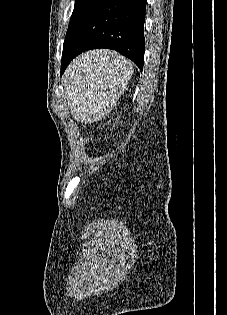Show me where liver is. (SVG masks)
Masks as SVG:
<instances>
[{
	"label": "liver",
	"instance_id": "1",
	"mask_svg": "<svg viewBox=\"0 0 227 315\" xmlns=\"http://www.w3.org/2000/svg\"><path fill=\"white\" fill-rule=\"evenodd\" d=\"M103 51H107V50H99V51H96V52H103Z\"/></svg>",
	"mask_w": 227,
	"mask_h": 315
}]
</instances>
